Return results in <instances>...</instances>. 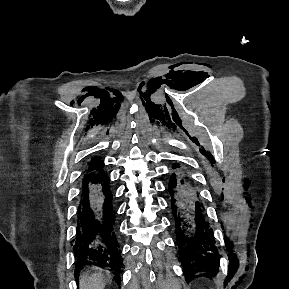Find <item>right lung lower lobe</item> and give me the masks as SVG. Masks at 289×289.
Segmentation results:
<instances>
[{
	"mask_svg": "<svg viewBox=\"0 0 289 289\" xmlns=\"http://www.w3.org/2000/svg\"><path fill=\"white\" fill-rule=\"evenodd\" d=\"M104 171L84 177L78 205L74 252L76 274L84 265H102L113 270L119 283L122 268L113 197Z\"/></svg>",
	"mask_w": 289,
	"mask_h": 289,
	"instance_id": "1",
	"label": "right lung lower lobe"
}]
</instances>
